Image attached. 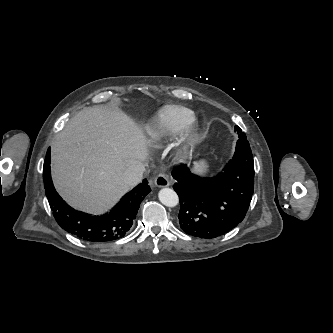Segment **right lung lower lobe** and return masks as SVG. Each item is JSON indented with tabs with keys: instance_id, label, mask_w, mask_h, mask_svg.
Returning <instances> with one entry per match:
<instances>
[{
	"instance_id": "1",
	"label": "right lung lower lobe",
	"mask_w": 333,
	"mask_h": 333,
	"mask_svg": "<svg viewBox=\"0 0 333 333\" xmlns=\"http://www.w3.org/2000/svg\"><path fill=\"white\" fill-rule=\"evenodd\" d=\"M43 180L47 199L57 223L70 234L91 242H107L122 238L131 229L140 203L151 192L144 179L127 193L108 213L101 216L89 215L71 208L56 192L50 174V149H48Z\"/></svg>"
}]
</instances>
